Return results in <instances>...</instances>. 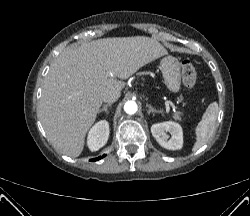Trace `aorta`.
<instances>
[{
  "label": "aorta",
  "instance_id": "aorta-1",
  "mask_svg": "<svg viewBox=\"0 0 250 216\" xmlns=\"http://www.w3.org/2000/svg\"><path fill=\"white\" fill-rule=\"evenodd\" d=\"M138 110L137 104L134 101H127L124 105V111L129 114H135Z\"/></svg>",
  "mask_w": 250,
  "mask_h": 216
}]
</instances>
